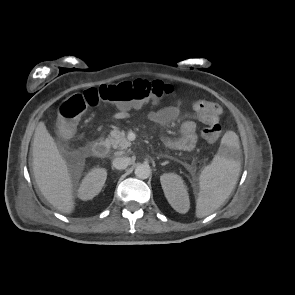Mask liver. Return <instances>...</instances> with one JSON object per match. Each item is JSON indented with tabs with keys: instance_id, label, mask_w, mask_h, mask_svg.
Here are the masks:
<instances>
[{
	"instance_id": "obj_1",
	"label": "liver",
	"mask_w": 295,
	"mask_h": 295,
	"mask_svg": "<svg viewBox=\"0 0 295 295\" xmlns=\"http://www.w3.org/2000/svg\"><path fill=\"white\" fill-rule=\"evenodd\" d=\"M32 156L34 178L42 195L59 212L71 214L75 197L70 170L44 122L35 129Z\"/></svg>"
}]
</instances>
